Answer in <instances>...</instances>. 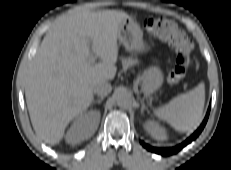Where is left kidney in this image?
Returning a JSON list of instances; mask_svg holds the SVG:
<instances>
[{
    "instance_id": "1",
    "label": "left kidney",
    "mask_w": 231,
    "mask_h": 170,
    "mask_svg": "<svg viewBox=\"0 0 231 170\" xmlns=\"http://www.w3.org/2000/svg\"><path fill=\"white\" fill-rule=\"evenodd\" d=\"M145 129L151 134V136L157 140H166L167 132L164 127L159 125L157 122L148 120L145 123Z\"/></svg>"
}]
</instances>
